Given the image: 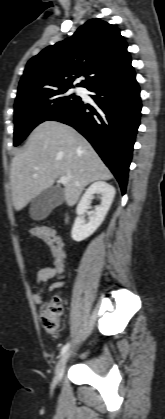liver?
Masks as SVG:
<instances>
[{
    "mask_svg": "<svg viewBox=\"0 0 165 419\" xmlns=\"http://www.w3.org/2000/svg\"><path fill=\"white\" fill-rule=\"evenodd\" d=\"M61 177H70L63 192L67 205L73 206L88 184L110 180L112 174L75 129L45 121L31 132L24 150L12 160L10 185L15 210L23 209Z\"/></svg>",
    "mask_w": 165,
    "mask_h": 419,
    "instance_id": "obj_1",
    "label": "liver"
}]
</instances>
